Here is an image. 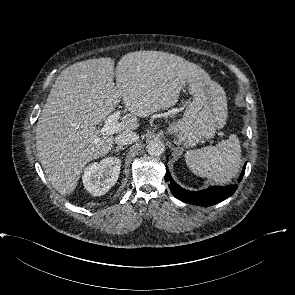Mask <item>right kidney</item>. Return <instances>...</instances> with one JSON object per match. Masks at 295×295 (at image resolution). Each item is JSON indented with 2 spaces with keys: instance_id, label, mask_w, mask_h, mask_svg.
<instances>
[{
  "instance_id": "obj_1",
  "label": "right kidney",
  "mask_w": 295,
  "mask_h": 295,
  "mask_svg": "<svg viewBox=\"0 0 295 295\" xmlns=\"http://www.w3.org/2000/svg\"><path fill=\"white\" fill-rule=\"evenodd\" d=\"M121 168V160L106 157L99 163L94 162L84 169L82 176L85 189L93 196L104 195L116 183Z\"/></svg>"
}]
</instances>
